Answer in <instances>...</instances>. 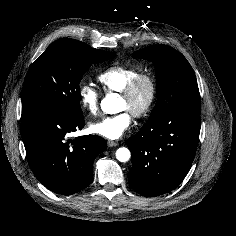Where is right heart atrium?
Wrapping results in <instances>:
<instances>
[{
  "label": "right heart atrium",
  "instance_id": "right-heart-atrium-1",
  "mask_svg": "<svg viewBox=\"0 0 236 236\" xmlns=\"http://www.w3.org/2000/svg\"><path fill=\"white\" fill-rule=\"evenodd\" d=\"M80 102L91 115L99 113L100 95L97 89L90 84H82L79 88Z\"/></svg>",
  "mask_w": 236,
  "mask_h": 236
}]
</instances>
